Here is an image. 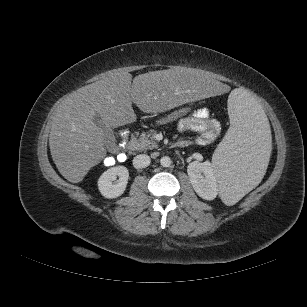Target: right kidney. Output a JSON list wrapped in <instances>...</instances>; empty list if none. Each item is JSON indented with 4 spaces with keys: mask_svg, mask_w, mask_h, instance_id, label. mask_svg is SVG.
I'll list each match as a JSON object with an SVG mask.
<instances>
[{
    "mask_svg": "<svg viewBox=\"0 0 307 307\" xmlns=\"http://www.w3.org/2000/svg\"><path fill=\"white\" fill-rule=\"evenodd\" d=\"M128 179V169L125 166H115L106 170L99 177L98 189L105 198H117L124 193Z\"/></svg>",
    "mask_w": 307,
    "mask_h": 307,
    "instance_id": "obj_1",
    "label": "right kidney"
}]
</instances>
